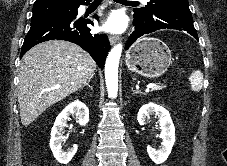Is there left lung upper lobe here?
I'll use <instances>...</instances> for the list:
<instances>
[{
    "instance_id": "1",
    "label": "left lung upper lobe",
    "mask_w": 227,
    "mask_h": 166,
    "mask_svg": "<svg viewBox=\"0 0 227 166\" xmlns=\"http://www.w3.org/2000/svg\"><path fill=\"white\" fill-rule=\"evenodd\" d=\"M180 4H188V0H150L145 7L134 9V13L144 17L148 16L155 7Z\"/></svg>"
}]
</instances>
